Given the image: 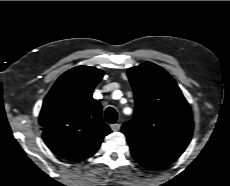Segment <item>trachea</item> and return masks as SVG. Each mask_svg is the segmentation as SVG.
<instances>
[{
    "mask_svg": "<svg viewBox=\"0 0 230 186\" xmlns=\"http://www.w3.org/2000/svg\"><path fill=\"white\" fill-rule=\"evenodd\" d=\"M105 120L110 123L113 124L116 122L117 120V112L114 108L112 107H108L105 111Z\"/></svg>",
    "mask_w": 230,
    "mask_h": 186,
    "instance_id": "3493384b",
    "label": "trachea"
}]
</instances>
